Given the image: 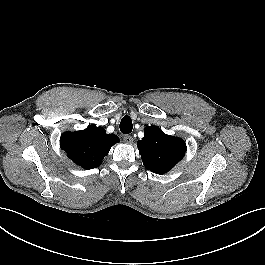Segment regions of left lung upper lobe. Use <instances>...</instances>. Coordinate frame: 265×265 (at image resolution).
Returning a JSON list of instances; mask_svg holds the SVG:
<instances>
[{
    "instance_id": "left-lung-upper-lobe-1",
    "label": "left lung upper lobe",
    "mask_w": 265,
    "mask_h": 265,
    "mask_svg": "<svg viewBox=\"0 0 265 265\" xmlns=\"http://www.w3.org/2000/svg\"><path fill=\"white\" fill-rule=\"evenodd\" d=\"M144 166L153 173L164 174L185 155L186 144L181 138L163 133L157 126H147L144 137L137 142Z\"/></svg>"
}]
</instances>
